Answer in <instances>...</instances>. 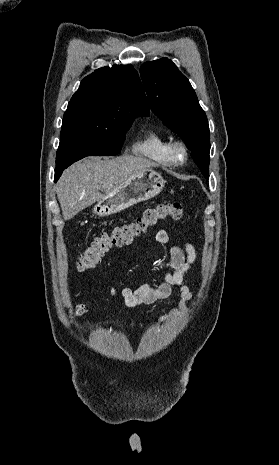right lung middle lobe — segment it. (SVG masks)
<instances>
[{"label": "right lung middle lobe", "instance_id": "1", "mask_svg": "<svg viewBox=\"0 0 279 465\" xmlns=\"http://www.w3.org/2000/svg\"><path fill=\"white\" fill-rule=\"evenodd\" d=\"M135 116L118 115L102 125L61 128L56 168H67L90 155H117Z\"/></svg>", "mask_w": 279, "mask_h": 465}]
</instances>
